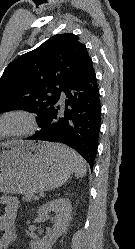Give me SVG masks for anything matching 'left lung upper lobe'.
<instances>
[{"instance_id":"left-lung-upper-lobe-1","label":"left lung upper lobe","mask_w":135,"mask_h":249,"mask_svg":"<svg viewBox=\"0 0 135 249\" xmlns=\"http://www.w3.org/2000/svg\"><path fill=\"white\" fill-rule=\"evenodd\" d=\"M92 67L86 46L72 33L54 35L12 61L0 78V113L26 109L41 124L60 91Z\"/></svg>"}]
</instances>
